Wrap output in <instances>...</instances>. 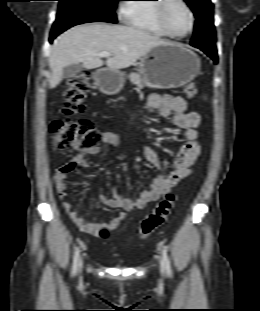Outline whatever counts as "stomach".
I'll use <instances>...</instances> for the list:
<instances>
[{
    "mask_svg": "<svg viewBox=\"0 0 260 311\" xmlns=\"http://www.w3.org/2000/svg\"><path fill=\"white\" fill-rule=\"evenodd\" d=\"M201 62L191 50L178 43L153 47L140 61V74L144 84L152 88H177L192 81L199 73ZM101 91L114 95L124 85V73L119 70L101 69L95 75Z\"/></svg>",
    "mask_w": 260,
    "mask_h": 311,
    "instance_id": "obj_1",
    "label": "stomach"
}]
</instances>
